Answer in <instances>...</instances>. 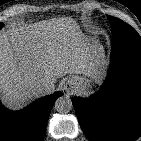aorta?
<instances>
[{
	"label": "aorta",
	"instance_id": "762f6f07",
	"mask_svg": "<svg viewBox=\"0 0 141 141\" xmlns=\"http://www.w3.org/2000/svg\"><path fill=\"white\" fill-rule=\"evenodd\" d=\"M72 107V101L67 96L59 97L54 103V108L59 113H67L72 109Z\"/></svg>",
	"mask_w": 141,
	"mask_h": 141
}]
</instances>
